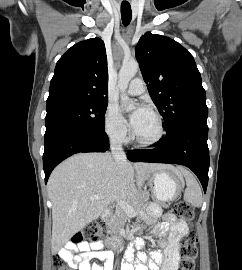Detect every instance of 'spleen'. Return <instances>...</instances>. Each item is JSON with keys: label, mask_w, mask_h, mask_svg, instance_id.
<instances>
[{"label": "spleen", "mask_w": 242, "mask_h": 270, "mask_svg": "<svg viewBox=\"0 0 242 270\" xmlns=\"http://www.w3.org/2000/svg\"><path fill=\"white\" fill-rule=\"evenodd\" d=\"M180 171L185 177L187 186L184 192V200L195 207H200L202 205V192L199 184L189 171L185 169H180Z\"/></svg>", "instance_id": "obj_1"}]
</instances>
